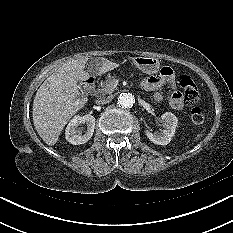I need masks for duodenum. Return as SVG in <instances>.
I'll return each mask as SVG.
<instances>
[{
	"mask_svg": "<svg viewBox=\"0 0 233 233\" xmlns=\"http://www.w3.org/2000/svg\"><path fill=\"white\" fill-rule=\"evenodd\" d=\"M86 83V86H87V89L90 91V92H93L94 90V86H95V79L94 77H88L85 81ZM141 86V84H140ZM142 87V86H141Z\"/></svg>",
	"mask_w": 233,
	"mask_h": 233,
	"instance_id": "1",
	"label": "duodenum"
}]
</instances>
